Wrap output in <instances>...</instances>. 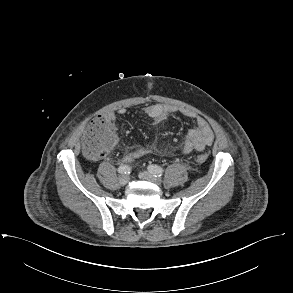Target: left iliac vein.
Instances as JSON below:
<instances>
[{
	"label": "left iliac vein",
	"mask_w": 293,
	"mask_h": 293,
	"mask_svg": "<svg viewBox=\"0 0 293 293\" xmlns=\"http://www.w3.org/2000/svg\"><path fill=\"white\" fill-rule=\"evenodd\" d=\"M139 178L142 180H147L155 185H160L162 182L160 178L155 177L152 173L147 171L140 172Z\"/></svg>",
	"instance_id": "4c4485c4"
}]
</instances>
